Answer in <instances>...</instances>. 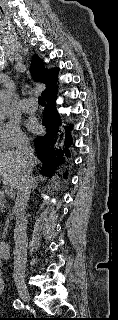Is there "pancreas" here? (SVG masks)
<instances>
[{"label": "pancreas", "instance_id": "obj_1", "mask_svg": "<svg viewBox=\"0 0 118 320\" xmlns=\"http://www.w3.org/2000/svg\"><path fill=\"white\" fill-rule=\"evenodd\" d=\"M4 199L3 198H0V207H4ZM8 224H9V218H7L6 220V224H5V227H4V230H3V233H2V238H5L6 237V234H7V229H8ZM0 230H1V227H0Z\"/></svg>", "mask_w": 118, "mask_h": 320}]
</instances>
